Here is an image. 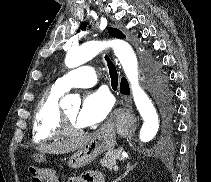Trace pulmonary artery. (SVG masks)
Instances as JSON below:
<instances>
[{
	"label": "pulmonary artery",
	"mask_w": 211,
	"mask_h": 182,
	"mask_svg": "<svg viewBox=\"0 0 211 182\" xmlns=\"http://www.w3.org/2000/svg\"><path fill=\"white\" fill-rule=\"evenodd\" d=\"M98 79L97 71L90 66H79L60 77L55 86L62 91H68L73 87H91Z\"/></svg>",
	"instance_id": "e3ab8cb5"
}]
</instances>
